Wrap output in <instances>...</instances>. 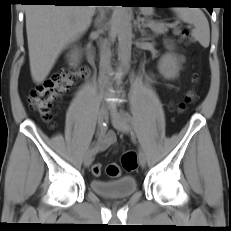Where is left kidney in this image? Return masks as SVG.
Instances as JSON below:
<instances>
[{
    "mask_svg": "<svg viewBox=\"0 0 231 231\" xmlns=\"http://www.w3.org/2000/svg\"><path fill=\"white\" fill-rule=\"evenodd\" d=\"M170 50L171 47L168 46ZM185 61L183 56H177L172 52L164 54L158 62V70L165 79H175L179 75L180 66Z\"/></svg>",
    "mask_w": 231,
    "mask_h": 231,
    "instance_id": "5707ae66",
    "label": "left kidney"
}]
</instances>
